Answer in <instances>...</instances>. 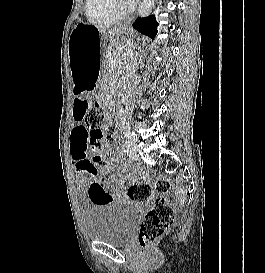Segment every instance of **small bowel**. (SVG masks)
Segmentation results:
<instances>
[{
	"mask_svg": "<svg viewBox=\"0 0 265 273\" xmlns=\"http://www.w3.org/2000/svg\"><path fill=\"white\" fill-rule=\"evenodd\" d=\"M72 104L70 115H73L74 123L76 124L70 136V154L73 166L77 173L79 186L83 189L82 203L90 204H113L114 200H121L123 195L117 191L116 185L122 183V178L119 174H111L110 179L106 181L107 189L101 183V177H97V164L88 156V129L84 126L83 120L85 112L88 111V99L84 95H77ZM102 166L103 172L111 173V167L105 161ZM88 184V190L86 185Z\"/></svg>",
	"mask_w": 265,
	"mask_h": 273,
	"instance_id": "obj_1",
	"label": "small bowel"
}]
</instances>
